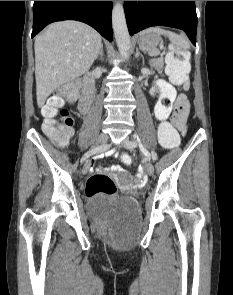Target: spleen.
<instances>
[{"label":"spleen","mask_w":233,"mask_h":295,"mask_svg":"<svg viewBox=\"0 0 233 295\" xmlns=\"http://www.w3.org/2000/svg\"><path fill=\"white\" fill-rule=\"evenodd\" d=\"M148 32H155L158 34L166 35L169 38V40L171 41L170 47L173 48V46H180L184 50L186 62H187V60H189L190 54L187 52L189 45L187 44V42L185 41V39L181 35H177L171 31L164 30L160 27L148 28L147 30L143 31L142 34L148 33ZM158 53H159L158 50L153 49L149 52V55L156 56Z\"/></svg>","instance_id":"obj_1"}]
</instances>
